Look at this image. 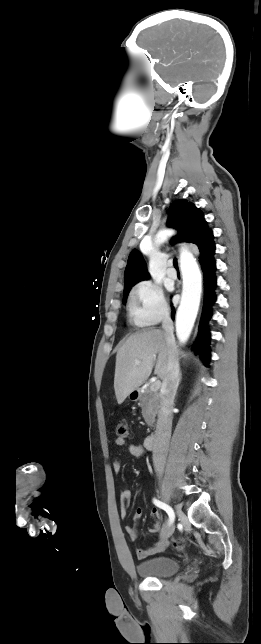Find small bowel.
Returning a JSON list of instances; mask_svg holds the SVG:
<instances>
[{"instance_id": "small-bowel-1", "label": "small bowel", "mask_w": 261, "mask_h": 644, "mask_svg": "<svg viewBox=\"0 0 261 644\" xmlns=\"http://www.w3.org/2000/svg\"><path fill=\"white\" fill-rule=\"evenodd\" d=\"M115 443L119 447H123L126 444L125 440L120 439V438H117ZM128 451L132 456H134L136 458H142L145 455V449L140 444H130L128 446ZM121 467H122V458L119 457L113 463V471L116 474H118L120 472V470H121ZM131 498H132V491L130 489L126 488V489H123L121 491V493H120V502H121V505H120V517L122 519H125L127 517V509H128V505H129V502H130ZM142 514H143V510L141 508H137L135 510V512H134V515H133L134 521L138 522L140 520V518L142 517ZM151 516H152L154 522H153L152 526L150 527L149 531H150V533H153V534H159V537H158L157 541L154 544H152L151 546H148V547H145V548H138L136 550L137 557L140 558V559L163 551L165 549L166 545H167L166 538H163L161 536V534H162V532H160L161 531V525H160L161 515H160V512L158 511V509L154 508L151 511ZM124 530H125V533L127 534L128 538L131 541H135L137 539L138 531H137L136 527L125 526Z\"/></svg>"}]
</instances>
